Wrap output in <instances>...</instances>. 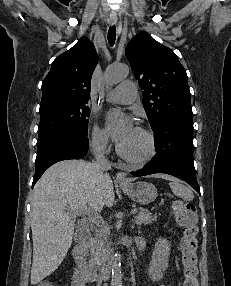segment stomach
I'll return each instance as SVG.
<instances>
[{"mask_svg": "<svg viewBox=\"0 0 231 286\" xmlns=\"http://www.w3.org/2000/svg\"><path fill=\"white\" fill-rule=\"evenodd\" d=\"M120 187L132 200L143 205L153 202L158 194L156 187L146 181L130 183L128 186L121 185Z\"/></svg>", "mask_w": 231, "mask_h": 286, "instance_id": "1", "label": "stomach"}]
</instances>
